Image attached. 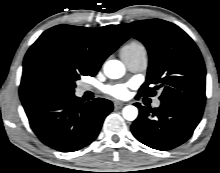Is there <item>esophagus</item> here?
I'll return each mask as SVG.
<instances>
[{
    "label": "esophagus",
    "instance_id": "obj_1",
    "mask_svg": "<svg viewBox=\"0 0 220 173\" xmlns=\"http://www.w3.org/2000/svg\"><path fill=\"white\" fill-rule=\"evenodd\" d=\"M123 106H124V103L121 102V101H115V102H114V107H115V109H120V108H122Z\"/></svg>",
    "mask_w": 220,
    "mask_h": 173
}]
</instances>
